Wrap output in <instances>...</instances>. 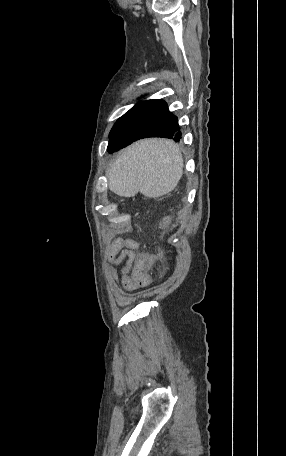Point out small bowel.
I'll use <instances>...</instances> for the list:
<instances>
[{
  "mask_svg": "<svg viewBox=\"0 0 286 456\" xmlns=\"http://www.w3.org/2000/svg\"><path fill=\"white\" fill-rule=\"evenodd\" d=\"M136 247L137 244L134 241H124L123 239L118 238L112 241L108 249L110 273L116 281L119 280L116 266L125 261V265L121 269V283L128 291H133L139 288V284L133 281L131 277V267L135 259Z\"/></svg>",
  "mask_w": 286,
  "mask_h": 456,
  "instance_id": "c3829d8e",
  "label": "small bowel"
}]
</instances>
